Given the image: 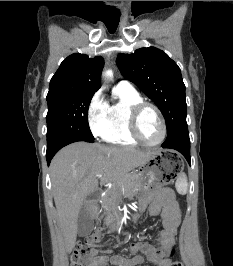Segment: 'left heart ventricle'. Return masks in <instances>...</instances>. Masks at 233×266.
<instances>
[{"label": "left heart ventricle", "instance_id": "b2bd125f", "mask_svg": "<svg viewBox=\"0 0 233 266\" xmlns=\"http://www.w3.org/2000/svg\"><path fill=\"white\" fill-rule=\"evenodd\" d=\"M139 132L141 137L150 143H154L159 140L162 133V127L160 120L156 112L151 108H146L139 118Z\"/></svg>", "mask_w": 233, "mask_h": 266}]
</instances>
